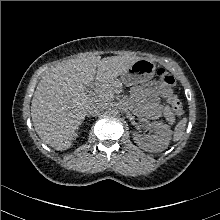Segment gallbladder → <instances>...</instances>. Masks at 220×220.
<instances>
[{
  "label": "gallbladder",
  "mask_w": 220,
  "mask_h": 220,
  "mask_svg": "<svg viewBox=\"0 0 220 220\" xmlns=\"http://www.w3.org/2000/svg\"><path fill=\"white\" fill-rule=\"evenodd\" d=\"M90 88H89V86H86V90L88 91Z\"/></svg>",
  "instance_id": "bac80fb5"
}]
</instances>
